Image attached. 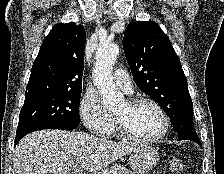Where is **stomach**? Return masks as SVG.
I'll use <instances>...</instances> for the list:
<instances>
[{"label": "stomach", "instance_id": "1", "mask_svg": "<svg viewBox=\"0 0 224 174\" xmlns=\"http://www.w3.org/2000/svg\"><path fill=\"white\" fill-rule=\"evenodd\" d=\"M159 161L158 151L150 145L141 144L132 152L129 164L132 170L140 174L151 171Z\"/></svg>", "mask_w": 224, "mask_h": 174}]
</instances>
